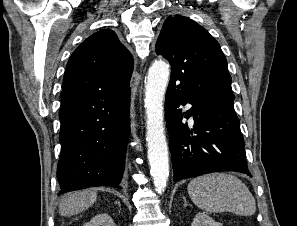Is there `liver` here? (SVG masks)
<instances>
[{
    "instance_id": "liver-1",
    "label": "liver",
    "mask_w": 297,
    "mask_h": 226,
    "mask_svg": "<svg viewBox=\"0 0 297 226\" xmlns=\"http://www.w3.org/2000/svg\"><path fill=\"white\" fill-rule=\"evenodd\" d=\"M97 199V193L86 190L67 195L59 204L61 216L70 217L91 207Z\"/></svg>"
}]
</instances>
